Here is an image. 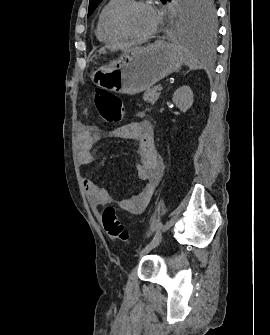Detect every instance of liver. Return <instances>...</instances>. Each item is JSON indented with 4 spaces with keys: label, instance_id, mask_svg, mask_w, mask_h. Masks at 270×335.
Instances as JSON below:
<instances>
[{
    "label": "liver",
    "instance_id": "liver-1",
    "mask_svg": "<svg viewBox=\"0 0 270 335\" xmlns=\"http://www.w3.org/2000/svg\"><path fill=\"white\" fill-rule=\"evenodd\" d=\"M131 46H134V44H123V46H121V50H127V52H131V50H134V48H131ZM104 50L105 48H101L100 52H104Z\"/></svg>",
    "mask_w": 270,
    "mask_h": 335
}]
</instances>
